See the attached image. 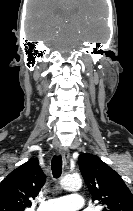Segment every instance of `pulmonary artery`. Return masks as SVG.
I'll return each mask as SVG.
<instances>
[{
  "label": "pulmonary artery",
  "mask_w": 133,
  "mask_h": 211,
  "mask_svg": "<svg viewBox=\"0 0 133 211\" xmlns=\"http://www.w3.org/2000/svg\"><path fill=\"white\" fill-rule=\"evenodd\" d=\"M85 205L84 198L78 193L52 198L43 202L37 211H76Z\"/></svg>",
  "instance_id": "e3ab8cb5"
}]
</instances>
